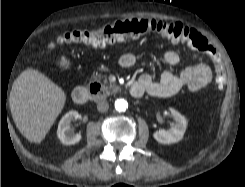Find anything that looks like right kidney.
I'll return each instance as SVG.
<instances>
[{
    "instance_id": "ca27d5eb",
    "label": "right kidney",
    "mask_w": 245,
    "mask_h": 187,
    "mask_svg": "<svg viewBox=\"0 0 245 187\" xmlns=\"http://www.w3.org/2000/svg\"><path fill=\"white\" fill-rule=\"evenodd\" d=\"M76 117H78L77 111H69L62 117L58 124L57 136L64 145L76 144L82 138L80 133H75L70 127V122Z\"/></svg>"
}]
</instances>
